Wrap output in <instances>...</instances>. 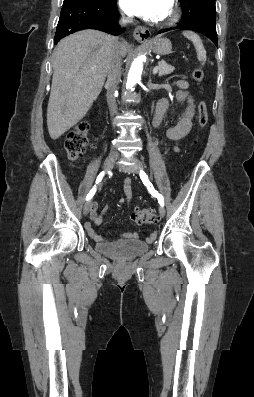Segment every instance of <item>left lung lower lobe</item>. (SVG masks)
<instances>
[{
    "label": "left lung lower lobe",
    "mask_w": 254,
    "mask_h": 397,
    "mask_svg": "<svg viewBox=\"0 0 254 397\" xmlns=\"http://www.w3.org/2000/svg\"><path fill=\"white\" fill-rule=\"evenodd\" d=\"M180 3L183 8V14L177 28L200 32L210 38L214 44L218 46L215 0H185ZM171 29L172 28L162 29L159 33Z\"/></svg>",
    "instance_id": "0a47b994"
}]
</instances>
